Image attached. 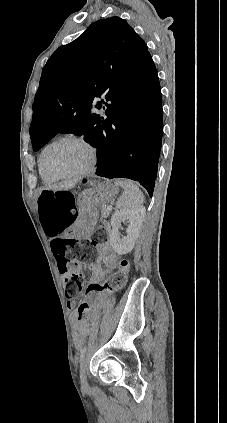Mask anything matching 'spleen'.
Returning <instances> with one entry per match:
<instances>
[{
  "label": "spleen",
  "mask_w": 227,
  "mask_h": 423,
  "mask_svg": "<svg viewBox=\"0 0 227 423\" xmlns=\"http://www.w3.org/2000/svg\"><path fill=\"white\" fill-rule=\"evenodd\" d=\"M116 186L123 188V196L116 202L119 210H137L144 204V196L138 186L131 180H115Z\"/></svg>",
  "instance_id": "spleen-1"
}]
</instances>
